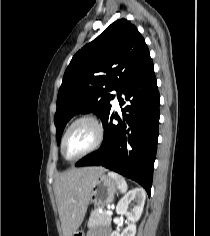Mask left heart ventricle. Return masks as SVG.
<instances>
[{"label":"left heart ventricle","mask_w":210,"mask_h":236,"mask_svg":"<svg viewBox=\"0 0 210 236\" xmlns=\"http://www.w3.org/2000/svg\"><path fill=\"white\" fill-rule=\"evenodd\" d=\"M94 126L87 121L76 124L68 133L64 143V154L67 158H73L87 148L95 140Z\"/></svg>","instance_id":"b2bd125f"}]
</instances>
